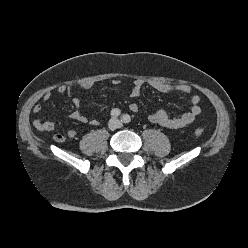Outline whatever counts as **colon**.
Instances as JSON below:
<instances>
[{"instance_id":"1","label":"colon","mask_w":248,"mask_h":248,"mask_svg":"<svg viewBox=\"0 0 248 248\" xmlns=\"http://www.w3.org/2000/svg\"><path fill=\"white\" fill-rule=\"evenodd\" d=\"M203 133H204V130H203L202 128H196V129L194 130V134H195L196 136H202Z\"/></svg>"}]
</instances>
